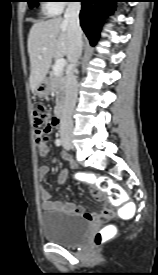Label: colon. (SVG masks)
I'll use <instances>...</instances> for the list:
<instances>
[{"instance_id":"1","label":"colon","mask_w":158,"mask_h":275,"mask_svg":"<svg viewBox=\"0 0 158 275\" xmlns=\"http://www.w3.org/2000/svg\"><path fill=\"white\" fill-rule=\"evenodd\" d=\"M33 118L35 133L37 138L46 139L47 136L57 126V119L52 116L48 109L40 103H36L33 106ZM79 178L83 181H88L91 184H96L101 192L108 195L110 201H121L125 198V192L122 188L117 186L110 178L107 177H91L85 174H81ZM112 217V210L109 205H106L105 209L98 214L99 219H109ZM114 235V228L111 225L103 227L94 236L95 245H100Z\"/></svg>"}]
</instances>
